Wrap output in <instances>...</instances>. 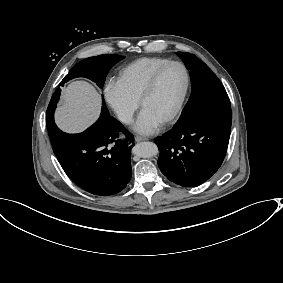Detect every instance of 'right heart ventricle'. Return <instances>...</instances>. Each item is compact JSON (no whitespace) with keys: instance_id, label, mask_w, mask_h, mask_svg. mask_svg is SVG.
Here are the masks:
<instances>
[{"instance_id":"obj_1","label":"right heart ventricle","mask_w":283,"mask_h":283,"mask_svg":"<svg viewBox=\"0 0 283 283\" xmlns=\"http://www.w3.org/2000/svg\"><path fill=\"white\" fill-rule=\"evenodd\" d=\"M169 61H171L170 58L163 56L139 58L120 69L118 80L122 83L126 92L138 101L148 77Z\"/></svg>"}]
</instances>
